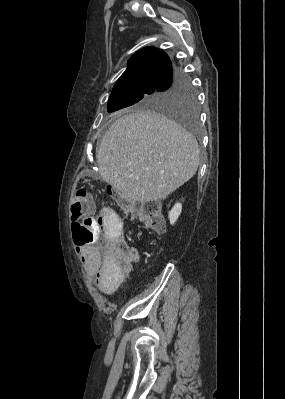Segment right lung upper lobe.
Returning <instances> with one entry per match:
<instances>
[{"label":"right lung upper lobe","instance_id":"cb5924a9","mask_svg":"<svg viewBox=\"0 0 285 399\" xmlns=\"http://www.w3.org/2000/svg\"><path fill=\"white\" fill-rule=\"evenodd\" d=\"M171 65L164 51L145 47L129 59L128 67L116 82L111 95L158 88Z\"/></svg>","mask_w":285,"mask_h":399}]
</instances>
